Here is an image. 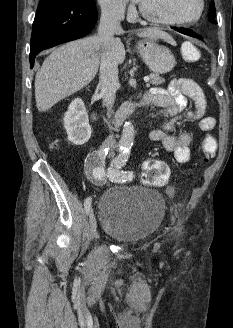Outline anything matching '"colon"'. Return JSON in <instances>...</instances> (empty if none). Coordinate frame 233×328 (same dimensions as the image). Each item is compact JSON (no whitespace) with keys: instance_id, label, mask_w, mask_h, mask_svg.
Here are the masks:
<instances>
[{"instance_id":"5ec220e1","label":"colon","mask_w":233,"mask_h":328,"mask_svg":"<svg viewBox=\"0 0 233 328\" xmlns=\"http://www.w3.org/2000/svg\"><path fill=\"white\" fill-rule=\"evenodd\" d=\"M183 56L186 60L194 62L200 58L198 49L191 43H186L182 48ZM217 148L216 140L213 136H207L202 143V150L205 160H209L215 154ZM170 171L168 166L156 159H150L143 164L142 182L145 185L160 187L168 182Z\"/></svg>"}]
</instances>
